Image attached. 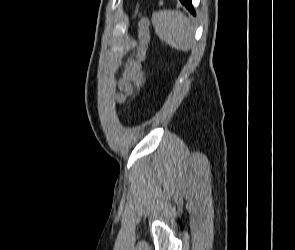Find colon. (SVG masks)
<instances>
[{"label":"colon","mask_w":295,"mask_h":250,"mask_svg":"<svg viewBox=\"0 0 295 250\" xmlns=\"http://www.w3.org/2000/svg\"><path fill=\"white\" fill-rule=\"evenodd\" d=\"M139 45L132 57L127 63L124 70V78L137 87L144 89L145 83L141 74V63L145 58L147 44L149 40L148 35V21L141 19L139 22Z\"/></svg>","instance_id":"colon-1"}]
</instances>
